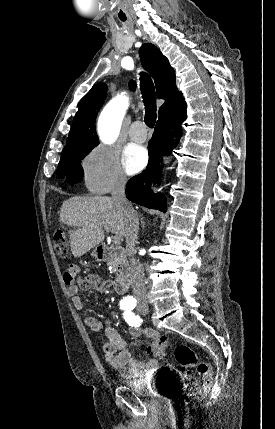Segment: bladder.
I'll use <instances>...</instances> for the list:
<instances>
[{
  "mask_svg": "<svg viewBox=\"0 0 275 429\" xmlns=\"http://www.w3.org/2000/svg\"><path fill=\"white\" fill-rule=\"evenodd\" d=\"M127 385L137 398H149L150 403L178 402L176 377L131 378V383Z\"/></svg>",
  "mask_w": 275,
  "mask_h": 429,
  "instance_id": "31cf9c89",
  "label": "bladder"
}]
</instances>
